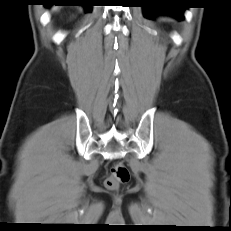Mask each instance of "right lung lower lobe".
Instances as JSON below:
<instances>
[{
	"label": "right lung lower lobe",
	"instance_id": "98d812e1",
	"mask_svg": "<svg viewBox=\"0 0 231 231\" xmlns=\"http://www.w3.org/2000/svg\"><path fill=\"white\" fill-rule=\"evenodd\" d=\"M45 6L51 5H80L84 6L86 11L91 10V6L88 4V0H46Z\"/></svg>",
	"mask_w": 231,
	"mask_h": 231
}]
</instances>
